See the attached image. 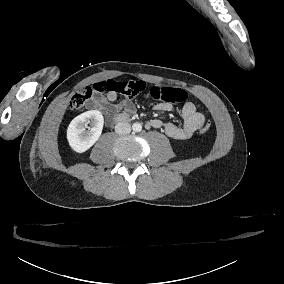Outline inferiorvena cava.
<instances>
[{
	"label": "inferior vena cava",
	"instance_id": "1",
	"mask_svg": "<svg viewBox=\"0 0 284 284\" xmlns=\"http://www.w3.org/2000/svg\"><path fill=\"white\" fill-rule=\"evenodd\" d=\"M115 131L119 135L129 134L131 132V126L127 122H119L115 125Z\"/></svg>",
	"mask_w": 284,
	"mask_h": 284
}]
</instances>
